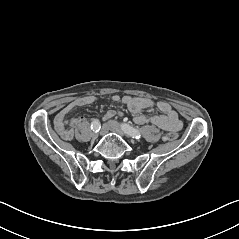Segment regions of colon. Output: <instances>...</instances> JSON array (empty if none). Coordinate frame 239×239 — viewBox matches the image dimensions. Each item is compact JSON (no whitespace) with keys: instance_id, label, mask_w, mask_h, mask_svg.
<instances>
[{"instance_id":"obj_1","label":"colon","mask_w":239,"mask_h":239,"mask_svg":"<svg viewBox=\"0 0 239 239\" xmlns=\"http://www.w3.org/2000/svg\"><path fill=\"white\" fill-rule=\"evenodd\" d=\"M177 138V133L172 131V132H169L167 133L164 137H163V140L164 141H173Z\"/></svg>"}]
</instances>
